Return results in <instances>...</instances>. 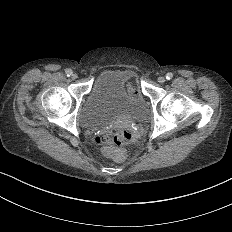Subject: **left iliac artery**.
Masks as SVG:
<instances>
[{"mask_svg": "<svg viewBox=\"0 0 232 232\" xmlns=\"http://www.w3.org/2000/svg\"><path fill=\"white\" fill-rule=\"evenodd\" d=\"M173 78V74L171 73V72H168L167 74H166V79L167 80H170V79H172Z\"/></svg>", "mask_w": 232, "mask_h": 232, "instance_id": "left-iliac-artery-1", "label": "left iliac artery"}]
</instances>
